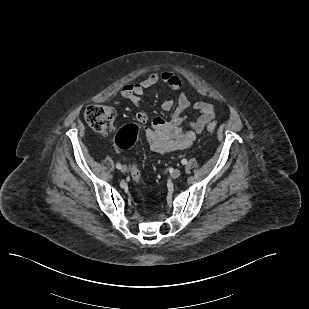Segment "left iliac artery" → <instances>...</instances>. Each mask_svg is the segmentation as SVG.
I'll use <instances>...</instances> for the list:
<instances>
[{
	"label": "left iliac artery",
	"instance_id": "obj_1",
	"mask_svg": "<svg viewBox=\"0 0 309 309\" xmlns=\"http://www.w3.org/2000/svg\"><path fill=\"white\" fill-rule=\"evenodd\" d=\"M181 163H182L183 165H185V164H187V160H186V159H182V160H181Z\"/></svg>",
	"mask_w": 309,
	"mask_h": 309
}]
</instances>
